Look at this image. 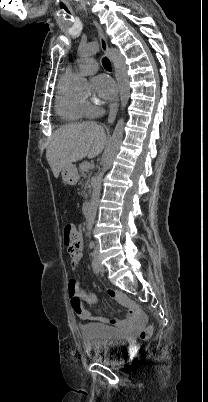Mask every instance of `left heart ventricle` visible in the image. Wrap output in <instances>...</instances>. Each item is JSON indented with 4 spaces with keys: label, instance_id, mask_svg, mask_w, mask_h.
Wrapping results in <instances>:
<instances>
[{
    "label": "left heart ventricle",
    "instance_id": "1",
    "mask_svg": "<svg viewBox=\"0 0 208 402\" xmlns=\"http://www.w3.org/2000/svg\"><path fill=\"white\" fill-rule=\"evenodd\" d=\"M87 90H88V86H87V88L85 89V91L81 93V95H86V96H87V94H88ZM98 96H99V93H98Z\"/></svg>",
    "mask_w": 208,
    "mask_h": 402
}]
</instances>
